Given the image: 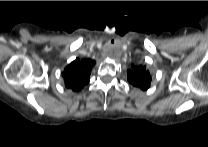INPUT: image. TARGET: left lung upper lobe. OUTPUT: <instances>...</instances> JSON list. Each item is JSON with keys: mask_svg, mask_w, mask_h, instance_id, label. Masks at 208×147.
<instances>
[{"mask_svg": "<svg viewBox=\"0 0 208 147\" xmlns=\"http://www.w3.org/2000/svg\"><path fill=\"white\" fill-rule=\"evenodd\" d=\"M128 82L142 90H147L150 87L151 75L146 69V66H132V69L127 71Z\"/></svg>", "mask_w": 208, "mask_h": 147, "instance_id": "1", "label": "left lung upper lobe"}]
</instances>
